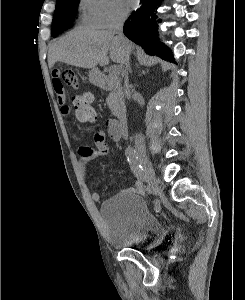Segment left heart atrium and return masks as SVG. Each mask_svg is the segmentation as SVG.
Instances as JSON below:
<instances>
[{"instance_id": "1", "label": "left heart atrium", "mask_w": 245, "mask_h": 300, "mask_svg": "<svg viewBox=\"0 0 245 300\" xmlns=\"http://www.w3.org/2000/svg\"><path fill=\"white\" fill-rule=\"evenodd\" d=\"M127 7H135L137 4V0H122Z\"/></svg>"}]
</instances>
